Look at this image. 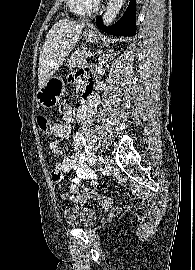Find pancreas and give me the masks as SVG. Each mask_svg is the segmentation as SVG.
<instances>
[{"mask_svg":"<svg viewBox=\"0 0 195 270\" xmlns=\"http://www.w3.org/2000/svg\"><path fill=\"white\" fill-rule=\"evenodd\" d=\"M85 54L86 50L84 48L75 51L68 61V67L73 68L82 66L86 62Z\"/></svg>","mask_w":195,"mask_h":270,"instance_id":"pancreas-1","label":"pancreas"}]
</instances>
